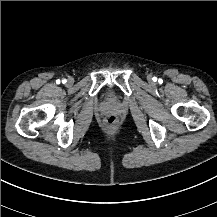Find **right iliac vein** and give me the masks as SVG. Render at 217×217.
<instances>
[{"mask_svg":"<svg viewBox=\"0 0 217 217\" xmlns=\"http://www.w3.org/2000/svg\"><path fill=\"white\" fill-rule=\"evenodd\" d=\"M70 82H71V79L68 80V83H70Z\"/></svg>","mask_w":217,"mask_h":217,"instance_id":"right-iliac-vein-1","label":"right iliac vein"}]
</instances>
